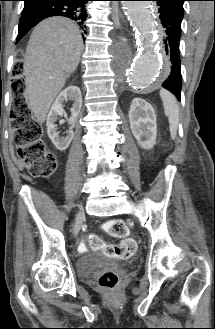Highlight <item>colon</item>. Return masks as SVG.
I'll return each mask as SVG.
<instances>
[{"label":"colon","mask_w":215,"mask_h":329,"mask_svg":"<svg viewBox=\"0 0 215 329\" xmlns=\"http://www.w3.org/2000/svg\"><path fill=\"white\" fill-rule=\"evenodd\" d=\"M12 62H27V55H12ZM11 73H21V66H11ZM13 106L11 109V127L14 143L17 147V159L29 170L33 177H50L57 169L56 155L46 148L42 139V126L34 118L25 99V84L20 79L12 80ZM104 230L112 237L121 239L117 246L105 244L97 236H89L80 245L81 249L90 246L100 250L107 256L120 258L131 257L135 250V241L129 237V231L124 221L114 219L104 225ZM119 282V276L114 271H107L99 277V285L107 290H114Z\"/></svg>","instance_id":"colon-1"}]
</instances>
